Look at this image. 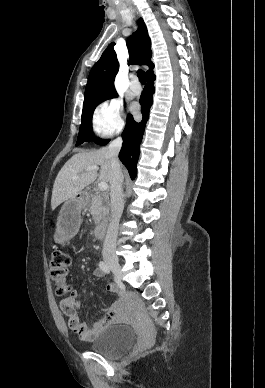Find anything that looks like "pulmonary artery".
Listing matches in <instances>:
<instances>
[{"mask_svg":"<svg viewBox=\"0 0 265 388\" xmlns=\"http://www.w3.org/2000/svg\"><path fill=\"white\" fill-rule=\"evenodd\" d=\"M129 90H134L135 95L140 94V83H139V76L138 75H131L130 76V83H129Z\"/></svg>","mask_w":265,"mask_h":388,"instance_id":"obj_1","label":"pulmonary artery"}]
</instances>
